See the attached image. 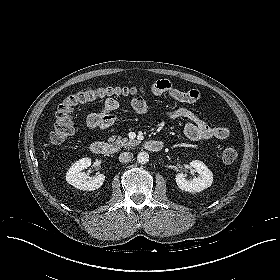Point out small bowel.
<instances>
[{"mask_svg":"<svg viewBox=\"0 0 280 280\" xmlns=\"http://www.w3.org/2000/svg\"><path fill=\"white\" fill-rule=\"evenodd\" d=\"M153 95L168 94L170 97L185 104H193L200 100L201 92L197 89L182 90L175 87L167 80H157L150 86ZM131 106L137 113H146L149 106L145 99L137 96L131 99ZM119 103L114 98H107L101 110L91 113L87 118V124L100 129H107L118 120L117 110ZM166 117L171 120L185 119V136L192 142H206L213 138L226 139L230 135L228 127L213 125L200 118L191 109L180 107L167 112Z\"/></svg>","mask_w":280,"mask_h":280,"instance_id":"c3829d8e","label":"small bowel"}]
</instances>
